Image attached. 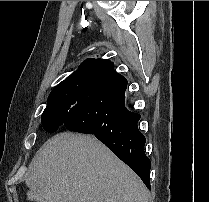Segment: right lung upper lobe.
Masks as SVG:
<instances>
[{"instance_id": "cb5924a9", "label": "right lung upper lobe", "mask_w": 209, "mask_h": 202, "mask_svg": "<svg viewBox=\"0 0 209 202\" xmlns=\"http://www.w3.org/2000/svg\"><path fill=\"white\" fill-rule=\"evenodd\" d=\"M114 70V64L108 59H91L88 58L81 63L78 69L67 78L76 75L88 74L91 78L101 77Z\"/></svg>"}]
</instances>
